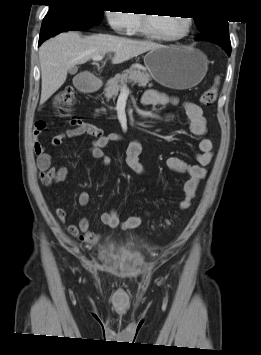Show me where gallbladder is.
Instances as JSON below:
<instances>
[{
	"label": "gallbladder",
	"instance_id": "gallbladder-1",
	"mask_svg": "<svg viewBox=\"0 0 261 355\" xmlns=\"http://www.w3.org/2000/svg\"><path fill=\"white\" fill-rule=\"evenodd\" d=\"M77 70H78L77 67H72V68H70L69 72H70L71 74H74V73L77 72Z\"/></svg>",
	"mask_w": 261,
	"mask_h": 355
}]
</instances>
